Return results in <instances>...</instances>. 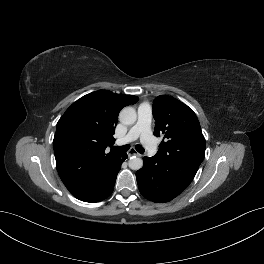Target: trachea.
Instances as JSON below:
<instances>
[{
    "label": "trachea",
    "instance_id": "obj_1",
    "mask_svg": "<svg viewBox=\"0 0 264 264\" xmlns=\"http://www.w3.org/2000/svg\"><path fill=\"white\" fill-rule=\"evenodd\" d=\"M114 150L116 151H120V152H126L129 150L130 146L128 144L124 145V146H114L112 147ZM135 149L140 153L143 154L145 152V149L141 146V145H136Z\"/></svg>",
    "mask_w": 264,
    "mask_h": 264
}]
</instances>
